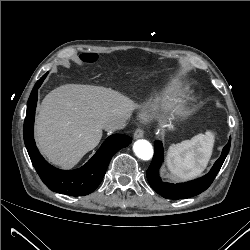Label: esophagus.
I'll use <instances>...</instances> for the list:
<instances>
[{"mask_svg":"<svg viewBox=\"0 0 250 250\" xmlns=\"http://www.w3.org/2000/svg\"><path fill=\"white\" fill-rule=\"evenodd\" d=\"M144 136V131L141 128H137L134 132V138L135 139H139L142 138Z\"/></svg>","mask_w":250,"mask_h":250,"instance_id":"34e87169","label":"esophagus"}]
</instances>
